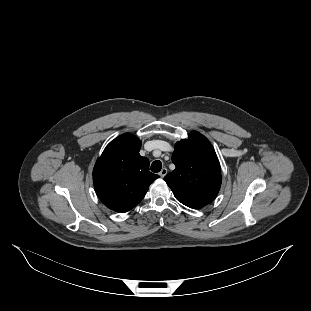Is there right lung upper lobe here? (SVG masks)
<instances>
[{"mask_svg":"<svg viewBox=\"0 0 311 311\" xmlns=\"http://www.w3.org/2000/svg\"><path fill=\"white\" fill-rule=\"evenodd\" d=\"M141 141L125 133L111 141L97 160L93 182L97 196L109 209L127 212L144 198L158 175L149 171V160L140 156Z\"/></svg>","mask_w":311,"mask_h":311,"instance_id":"1","label":"right lung upper lobe"}]
</instances>
